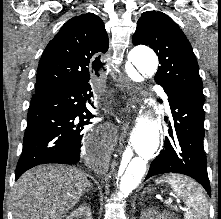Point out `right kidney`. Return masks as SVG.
Masks as SVG:
<instances>
[{"label":"right kidney","mask_w":221,"mask_h":219,"mask_svg":"<svg viewBox=\"0 0 221 219\" xmlns=\"http://www.w3.org/2000/svg\"><path fill=\"white\" fill-rule=\"evenodd\" d=\"M65 219H92L91 208L90 206L83 204Z\"/></svg>","instance_id":"right-kidney-1"}]
</instances>
